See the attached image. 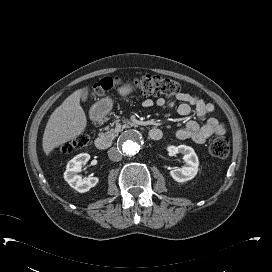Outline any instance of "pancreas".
<instances>
[{
	"label": "pancreas",
	"instance_id": "1",
	"mask_svg": "<svg viewBox=\"0 0 272 272\" xmlns=\"http://www.w3.org/2000/svg\"><path fill=\"white\" fill-rule=\"evenodd\" d=\"M122 122H123V124H121L119 120H116L115 127L107 131V134L110 138L114 139L125 128L132 126L130 121L127 119H124Z\"/></svg>",
	"mask_w": 272,
	"mask_h": 272
}]
</instances>
